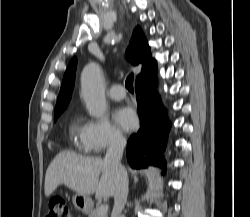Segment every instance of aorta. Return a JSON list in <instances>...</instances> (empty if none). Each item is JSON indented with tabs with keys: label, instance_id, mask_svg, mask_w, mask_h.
Masks as SVG:
<instances>
[{
	"label": "aorta",
	"instance_id": "1",
	"mask_svg": "<svg viewBox=\"0 0 250 217\" xmlns=\"http://www.w3.org/2000/svg\"><path fill=\"white\" fill-rule=\"evenodd\" d=\"M104 87L100 66L88 64L81 74V88L82 98L92 117L101 118L107 110Z\"/></svg>",
	"mask_w": 250,
	"mask_h": 217
}]
</instances>
